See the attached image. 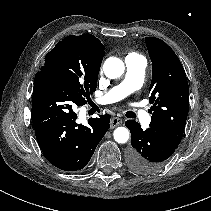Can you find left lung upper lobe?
<instances>
[{
	"label": "left lung upper lobe",
	"mask_w": 211,
	"mask_h": 211,
	"mask_svg": "<svg viewBox=\"0 0 211 211\" xmlns=\"http://www.w3.org/2000/svg\"><path fill=\"white\" fill-rule=\"evenodd\" d=\"M145 40L152 61L150 127L178 146L189 110L186 74L179 58L164 41L154 37Z\"/></svg>",
	"instance_id": "1"
}]
</instances>
